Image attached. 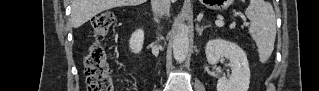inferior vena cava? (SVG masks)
<instances>
[{"mask_svg":"<svg viewBox=\"0 0 319 91\" xmlns=\"http://www.w3.org/2000/svg\"><path fill=\"white\" fill-rule=\"evenodd\" d=\"M151 4L154 18L157 19V22L159 18L169 15L170 0H152Z\"/></svg>","mask_w":319,"mask_h":91,"instance_id":"inferior-vena-cava-1","label":"inferior vena cava"}]
</instances>
